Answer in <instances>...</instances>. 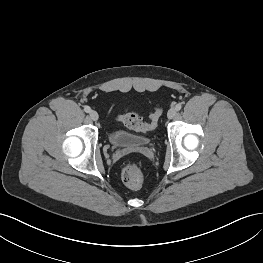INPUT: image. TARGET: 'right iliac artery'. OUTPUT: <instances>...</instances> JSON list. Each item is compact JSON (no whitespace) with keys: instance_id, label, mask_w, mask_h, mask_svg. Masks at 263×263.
Segmentation results:
<instances>
[{"instance_id":"1","label":"right iliac artery","mask_w":263,"mask_h":263,"mask_svg":"<svg viewBox=\"0 0 263 263\" xmlns=\"http://www.w3.org/2000/svg\"><path fill=\"white\" fill-rule=\"evenodd\" d=\"M84 111L86 113H89L91 111V108L89 106H84Z\"/></svg>"}]
</instances>
